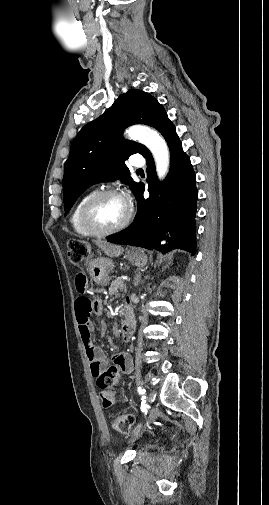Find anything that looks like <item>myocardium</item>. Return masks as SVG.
<instances>
[{"mask_svg":"<svg viewBox=\"0 0 269 505\" xmlns=\"http://www.w3.org/2000/svg\"><path fill=\"white\" fill-rule=\"evenodd\" d=\"M112 195L121 196L119 191H117L116 189H112V188L97 191V192L93 193L86 200V202L83 204V206L81 208V211H80L81 223L93 235L108 236V235L118 233V232L122 231L123 229H125L131 221L132 210L129 206L127 207V214H126L125 218L123 219V221L114 227L103 228V227L97 225L93 221V219L91 217V212H92V209L95 206V204L98 201H100L101 199H103L107 196H112Z\"/></svg>","mask_w":269,"mask_h":505,"instance_id":"f54148a6","label":"myocardium"}]
</instances>
